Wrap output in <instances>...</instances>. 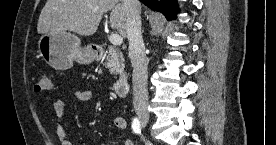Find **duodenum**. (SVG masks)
Instances as JSON below:
<instances>
[{
	"instance_id": "obj_1",
	"label": "duodenum",
	"mask_w": 276,
	"mask_h": 145,
	"mask_svg": "<svg viewBox=\"0 0 276 145\" xmlns=\"http://www.w3.org/2000/svg\"><path fill=\"white\" fill-rule=\"evenodd\" d=\"M95 52L97 53L98 56H101L103 53L102 47L96 46ZM128 87H129V75L127 72L122 71L119 74V77L114 84V92L118 97L124 98L127 95Z\"/></svg>"
}]
</instances>
